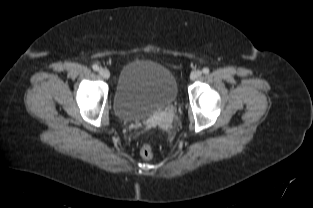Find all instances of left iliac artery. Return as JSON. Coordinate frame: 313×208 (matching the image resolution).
<instances>
[{"label":"left iliac artery","mask_w":313,"mask_h":208,"mask_svg":"<svg viewBox=\"0 0 313 208\" xmlns=\"http://www.w3.org/2000/svg\"><path fill=\"white\" fill-rule=\"evenodd\" d=\"M202 72L204 74H209L210 70H209V68L205 67V68H203Z\"/></svg>","instance_id":"44dca946"}]
</instances>
